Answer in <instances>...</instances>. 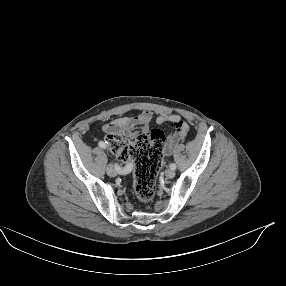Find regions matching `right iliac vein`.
I'll return each instance as SVG.
<instances>
[{"label":"right iliac vein","instance_id":"obj_1","mask_svg":"<svg viewBox=\"0 0 286 286\" xmlns=\"http://www.w3.org/2000/svg\"><path fill=\"white\" fill-rule=\"evenodd\" d=\"M106 171H107V174H108L109 176H111V177H113V176L116 175V169H115L114 166L111 165V164H109V165L107 166Z\"/></svg>","mask_w":286,"mask_h":286}]
</instances>
